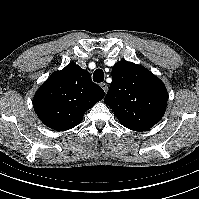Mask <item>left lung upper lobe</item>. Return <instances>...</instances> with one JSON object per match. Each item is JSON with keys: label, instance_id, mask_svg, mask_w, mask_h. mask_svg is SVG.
I'll return each instance as SVG.
<instances>
[{"label": "left lung upper lobe", "instance_id": "obj_1", "mask_svg": "<svg viewBox=\"0 0 199 199\" xmlns=\"http://www.w3.org/2000/svg\"><path fill=\"white\" fill-rule=\"evenodd\" d=\"M167 100L165 85L146 68L127 61L114 65L104 102L123 126L136 131L153 127L163 117Z\"/></svg>", "mask_w": 199, "mask_h": 199}]
</instances>
